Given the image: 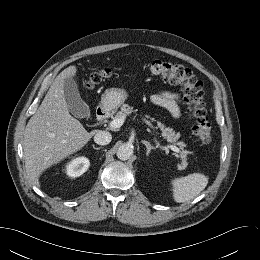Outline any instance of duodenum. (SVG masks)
I'll list each match as a JSON object with an SVG mask.
<instances>
[{
	"label": "duodenum",
	"instance_id": "duodenum-1",
	"mask_svg": "<svg viewBox=\"0 0 260 260\" xmlns=\"http://www.w3.org/2000/svg\"><path fill=\"white\" fill-rule=\"evenodd\" d=\"M109 115V106L108 105H103L97 108L96 110V119L98 121H102L106 119Z\"/></svg>",
	"mask_w": 260,
	"mask_h": 260
}]
</instances>
